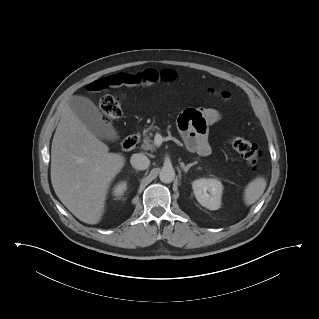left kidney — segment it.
Returning <instances> with one entry per match:
<instances>
[{
    "mask_svg": "<svg viewBox=\"0 0 319 319\" xmlns=\"http://www.w3.org/2000/svg\"><path fill=\"white\" fill-rule=\"evenodd\" d=\"M197 201L209 210H218L221 206L223 185L213 178H200L192 183Z\"/></svg>",
    "mask_w": 319,
    "mask_h": 319,
    "instance_id": "5707ae66",
    "label": "left kidney"
}]
</instances>
